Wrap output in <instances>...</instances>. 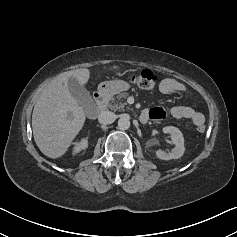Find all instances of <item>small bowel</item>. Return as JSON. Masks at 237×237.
I'll return each instance as SVG.
<instances>
[{"instance_id":"1","label":"small bowel","mask_w":237,"mask_h":237,"mask_svg":"<svg viewBox=\"0 0 237 237\" xmlns=\"http://www.w3.org/2000/svg\"><path fill=\"white\" fill-rule=\"evenodd\" d=\"M159 91L165 95L181 94L185 91V86L173 78H165L160 83ZM167 114L175 119L188 120L197 127L203 126L205 122L203 114L190 106L176 105L168 108L165 104L146 108L141 114V120L145 122L148 119H162Z\"/></svg>"}]
</instances>
